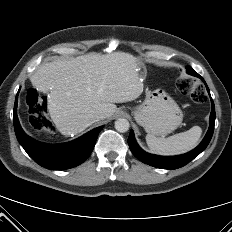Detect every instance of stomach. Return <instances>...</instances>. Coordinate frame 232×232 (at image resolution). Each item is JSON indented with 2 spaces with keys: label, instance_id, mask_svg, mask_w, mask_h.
I'll return each mask as SVG.
<instances>
[{
  "label": "stomach",
  "instance_id": "obj_1",
  "mask_svg": "<svg viewBox=\"0 0 232 232\" xmlns=\"http://www.w3.org/2000/svg\"><path fill=\"white\" fill-rule=\"evenodd\" d=\"M136 122L154 136H164L179 127L183 114L177 103L163 90L150 91L132 111Z\"/></svg>",
  "mask_w": 232,
  "mask_h": 232
}]
</instances>
